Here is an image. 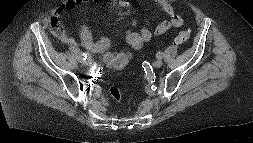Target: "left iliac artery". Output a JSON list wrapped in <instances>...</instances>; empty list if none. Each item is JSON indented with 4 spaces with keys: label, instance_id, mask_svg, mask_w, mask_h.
<instances>
[{
    "label": "left iliac artery",
    "instance_id": "1",
    "mask_svg": "<svg viewBox=\"0 0 253 143\" xmlns=\"http://www.w3.org/2000/svg\"><path fill=\"white\" fill-rule=\"evenodd\" d=\"M156 56H157L158 59H161L163 57V53L162 52H158L156 54Z\"/></svg>",
    "mask_w": 253,
    "mask_h": 143
}]
</instances>
